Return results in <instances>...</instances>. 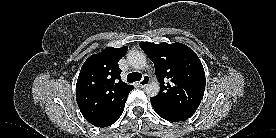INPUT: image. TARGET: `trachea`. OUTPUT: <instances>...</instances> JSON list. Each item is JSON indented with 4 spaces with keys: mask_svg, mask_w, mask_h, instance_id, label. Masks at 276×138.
Instances as JSON below:
<instances>
[{
    "mask_svg": "<svg viewBox=\"0 0 276 138\" xmlns=\"http://www.w3.org/2000/svg\"><path fill=\"white\" fill-rule=\"evenodd\" d=\"M142 79V75L138 72H132L127 75V81L133 83Z\"/></svg>",
    "mask_w": 276,
    "mask_h": 138,
    "instance_id": "3493384b",
    "label": "trachea"
}]
</instances>
